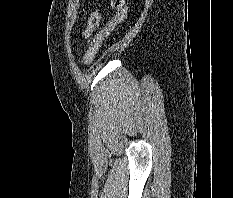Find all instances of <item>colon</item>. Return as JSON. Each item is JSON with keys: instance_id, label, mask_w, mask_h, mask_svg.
Returning a JSON list of instances; mask_svg holds the SVG:
<instances>
[{"instance_id": "5ec220e1", "label": "colon", "mask_w": 233, "mask_h": 198, "mask_svg": "<svg viewBox=\"0 0 233 198\" xmlns=\"http://www.w3.org/2000/svg\"><path fill=\"white\" fill-rule=\"evenodd\" d=\"M110 2L115 10V14L90 43L89 48L84 55V63L86 65L90 64L94 60L107 36L126 18L127 8L125 0H110ZM99 20V12L94 11L88 20V27L87 30L84 31V35H87L93 28H95L99 24Z\"/></svg>"}]
</instances>
